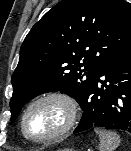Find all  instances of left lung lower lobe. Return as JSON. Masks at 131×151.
Listing matches in <instances>:
<instances>
[{"mask_svg": "<svg viewBox=\"0 0 131 151\" xmlns=\"http://www.w3.org/2000/svg\"><path fill=\"white\" fill-rule=\"evenodd\" d=\"M74 133L92 127L131 133V44L108 57L96 73Z\"/></svg>", "mask_w": 131, "mask_h": 151, "instance_id": "left-lung-lower-lobe-1", "label": "left lung lower lobe"}]
</instances>
